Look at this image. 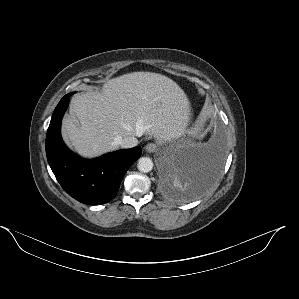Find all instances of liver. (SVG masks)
Segmentation results:
<instances>
[{"label": "liver", "mask_w": 299, "mask_h": 299, "mask_svg": "<svg viewBox=\"0 0 299 299\" xmlns=\"http://www.w3.org/2000/svg\"><path fill=\"white\" fill-rule=\"evenodd\" d=\"M190 119V103L170 78L133 72L104 84L102 93L76 94L62 135L83 157H96L118 147L117 137L151 135L159 141L180 137Z\"/></svg>", "instance_id": "obj_1"}]
</instances>
